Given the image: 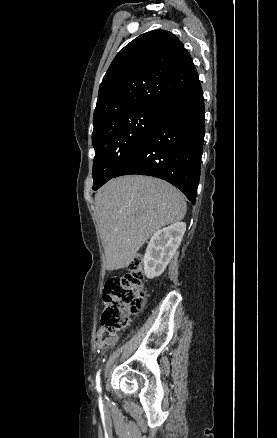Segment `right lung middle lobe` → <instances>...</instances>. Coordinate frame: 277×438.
Wrapping results in <instances>:
<instances>
[{
	"instance_id": "obj_1",
	"label": "right lung middle lobe",
	"mask_w": 277,
	"mask_h": 438,
	"mask_svg": "<svg viewBox=\"0 0 277 438\" xmlns=\"http://www.w3.org/2000/svg\"><path fill=\"white\" fill-rule=\"evenodd\" d=\"M161 109L115 115L94 124L93 188L101 187L144 142Z\"/></svg>"
}]
</instances>
